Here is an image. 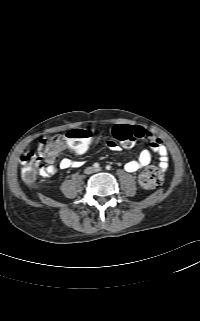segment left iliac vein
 I'll list each match as a JSON object with an SVG mask.
<instances>
[{
    "label": "left iliac vein",
    "mask_w": 200,
    "mask_h": 321,
    "mask_svg": "<svg viewBox=\"0 0 200 321\" xmlns=\"http://www.w3.org/2000/svg\"><path fill=\"white\" fill-rule=\"evenodd\" d=\"M99 171H101V168L95 169V172H99Z\"/></svg>",
    "instance_id": "1"
}]
</instances>
